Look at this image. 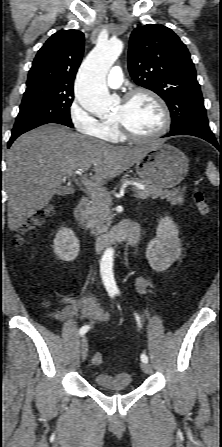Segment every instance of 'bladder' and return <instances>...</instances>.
Instances as JSON below:
<instances>
[{
  "label": "bladder",
  "mask_w": 222,
  "mask_h": 447,
  "mask_svg": "<svg viewBox=\"0 0 222 447\" xmlns=\"http://www.w3.org/2000/svg\"><path fill=\"white\" fill-rule=\"evenodd\" d=\"M94 381L99 388L105 391L117 392L132 388L131 374L126 371L116 373L100 372L94 376Z\"/></svg>",
  "instance_id": "obj_1"
}]
</instances>
